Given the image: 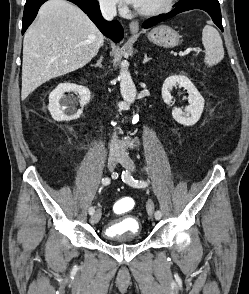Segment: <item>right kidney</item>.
Wrapping results in <instances>:
<instances>
[{
	"mask_svg": "<svg viewBox=\"0 0 249 294\" xmlns=\"http://www.w3.org/2000/svg\"><path fill=\"white\" fill-rule=\"evenodd\" d=\"M65 92H75L79 95L81 109L76 110L75 99L65 97ZM90 91L87 87L72 84L61 83L49 95L48 110L52 118L56 121H70L77 119L83 112V107L90 101Z\"/></svg>",
	"mask_w": 249,
	"mask_h": 294,
	"instance_id": "obj_1",
	"label": "right kidney"
}]
</instances>
